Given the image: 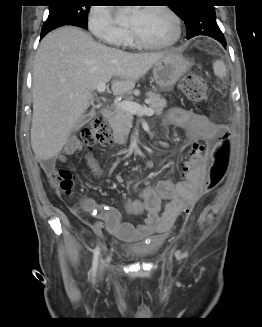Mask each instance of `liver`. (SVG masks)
<instances>
[{"label":"liver","instance_id":"1","mask_svg":"<svg viewBox=\"0 0 262 327\" xmlns=\"http://www.w3.org/2000/svg\"><path fill=\"white\" fill-rule=\"evenodd\" d=\"M166 53H128L94 41L76 27L49 33L33 67L31 146L47 161L66 144L77 120L88 109L99 83L112 80V92H131Z\"/></svg>","mask_w":262,"mask_h":327}]
</instances>
